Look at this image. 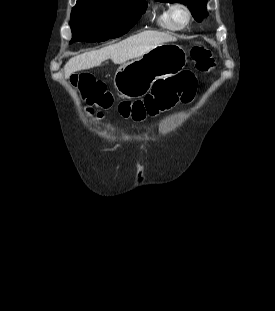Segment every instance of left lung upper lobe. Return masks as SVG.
<instances>
[{
	"mask_svg": "<svg viewBox=\"0 0 275 311\" xmlns=\"http://www.w3.org/2000/svg\"><path fill=\"white\" fill-rule=\"evenodd\" d=\"M164 3H182L186 5L192 12L195 20L202 21V18L207 16L206 11L207 0H157Z\"/></svg>",
	"mask_w": 275,
	"mask_h": 311,
	"instance_id": "1",
	"label": "left lung upper lobe"
}]
</instances>
